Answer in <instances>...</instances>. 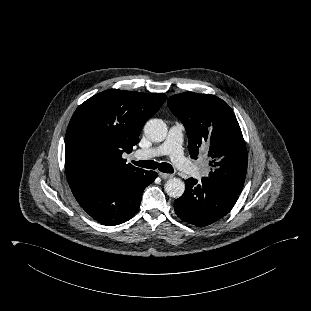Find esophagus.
<instances>
[{"label": "esophagus", "instance_id": "1", "mask_svg": "<svg viewBox=\"0 0 311 311\" xmlns=\"http://www.w3.org/2000/svg\"><path fill=\"white\" fill-rule=\"evenodd\" d=\"M158 174H159V176H160L162 179H169V178L173 177L172 174H168V173L159 172Z\"/></svg>", "mask_w": 311, "mask_h": 311}]
</instances>
